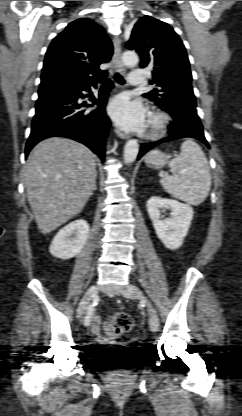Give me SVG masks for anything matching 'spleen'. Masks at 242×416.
Masks as SVG:
<instances>
[{"label":"spleen","instance_id":"obj_1","mask_svg":"<svg viewBox=\"0 0 242 416\" xmlns=\"http://www.w3.org/2000/svg\"><path fill=\"white\" fill-rule=\"evenodd\" d=\"M169 167L173 175L162 176L160 183L170 195L191 205H199L206 199L211 175L207 158L196 142L185 140Z\"/></svg>","mask_w":242,"mask_h":416}]
</instances>
